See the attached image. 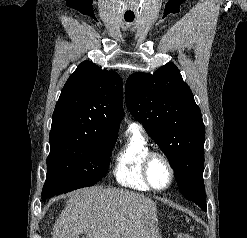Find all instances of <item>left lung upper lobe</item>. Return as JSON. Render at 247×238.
<instances>
[{
	"instance_id": "1",
	"label": "left lung upper lobe",
	"mask_w": 247,
	"mask_h": 238,
	"mask_svg": "<svg viewBox=\"0 0 247 238\" xmlns=\"http://www.w3.org/2000/svg\"><path fill=\"white\" fill-rule=\"evenodd\" d=\"M126 105L175 171L181 193L206 210L203 184L205 126L189 86L173 63L126 82Z\"/></svg>"
}]
</instances>
